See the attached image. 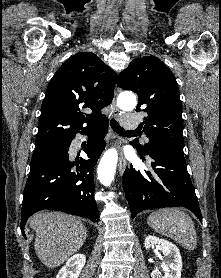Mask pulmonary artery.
Instances as JSON below:
<instances>
[{
  "label": "pulmonary artery",
  "mask_w": 221,
  "mask_h": 278,
  "mask_svg": "<svg viewBox=\"0 0 221 278\" xmlns=\"http://www.w3.org/2000/svg\"><path fill=\"white\" fill-rule=\"evenodd\" d=\"M120 122L125 129H133L137 126V118L135 115L131 114L121 116Z\"/></svg>",
  "instance_id": "obj_1"
}]
</instances>
